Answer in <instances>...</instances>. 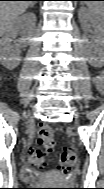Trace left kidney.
<instances>
[{
    "label": "left kidney",
    "mask_w": 104,
    "mask_h": 189,
    "mask_svg": "<svg viewBox=\"0 0 104 189\" xmlns=\"http://www.w3.org/2000/svg\"><path fill=\"white\" fill-rule=\"evenodd\" d=\"M79 19L82 23V27L85 30H89V23H91L95 29V41L96 47L94 48L95 53L97 56H94L91 52L87 54V59L89 63L93 66H102L104 62L103 56V32H104V20H103V13H94L86 8H80L79 12Z\"/></svg>",
    "instance_id": "obj_1"
}]
</instances>
